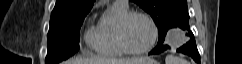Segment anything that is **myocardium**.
Returning a JSON list of instances; mask_svg holds the SVG:
<instances>
[{
    "label": "myocardium",
    "mask_w": 242,
    "mask_h": 64,
    "mask_svg": "<svg viewBox=\"0 0 242 64\" xmlns=\"http://www.w3.org/2000/svg\"><path fill=\"white\" fill-rule=\"evenodd\" d=\"M133 17H142L144 19H146L148 21V23L151 26L152 29V38L150 43L143 49H133L131 48L126 40V36H125V31H126V27L129 23V21L133 18ZM157 38H158V27L155 23V21L153 20V18L148 15L147 13L144 12H140V11H132V12H128L127 14H125L118 25V42L119 45L121 47V49L124 51V53L130 54V55H143L148 53L150 50H152V48L155 46L156 42H157Z\"/></svg>",
    "instance_id": "obj_1"
}]
</instances>
